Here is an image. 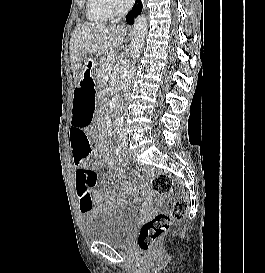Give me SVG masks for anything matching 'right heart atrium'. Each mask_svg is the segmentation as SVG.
Here are the masks:
<instances>
[{
    "mask_svg": "<svg viewBox=\"0 0 265 273\" xmlns=\"http://www.w3.org/2000/svg\"><path fill=\"white\" fill-rule=\"evenodd\" d=\"M103 6L112 14L123 13L129 9L133 0H100Z\"/></svg>",
    "mask_w": 265,
    "mask_h": 273,
    "instance_id": "1",
    "label": "right heart atrium"
}]
</instances>
